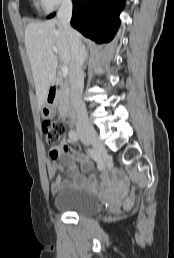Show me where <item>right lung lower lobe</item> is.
I'll return each mask as SVG.
<instances>
[{"mask_svg": "<svg viewBox=\"0 0 174 258\" xmlns=\"http://www.w3.org/2000/svg\"><path fill=\"white\" fill-rule=\"evenodd\" d=\"M71 25L96 43L113 39L119 24V14L125 0H72ZM54 14L48 16L53 17Z\"/></svg>", "mask_w": 174, "mask_h": 258, "instance_id": "right-lung-lower-lobe-1", "label": "right lung lower lobe"}]
</instances>
